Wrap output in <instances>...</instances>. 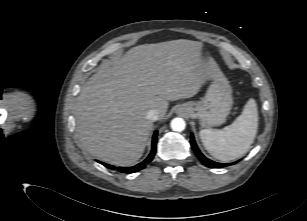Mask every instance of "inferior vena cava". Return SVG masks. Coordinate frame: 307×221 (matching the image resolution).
<instances>
[{
  "label": "inferior vena cava",
  "mask_w": 307,
  "mask_h": 221,
  "mask_svg": "<svg viewBox=\"0 0 307 221\" xmlns=\"http://www.w3.org/2000/svg\"><path fill=\"white\" fill-rule=\"evenodd\" d=\"M147 118L150 121H157L159 120V112L156 109H151L148 114H147Z\"/></svg>",
  "instance_id": "1"
}]
</instances>
